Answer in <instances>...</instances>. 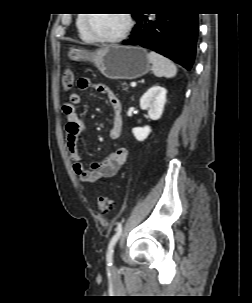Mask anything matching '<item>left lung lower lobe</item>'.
<instances>
[{
  "label": "left lung lower lobe",
  "mask_w": 252,
  "mask_h": 303,
  "mask_svg": "<svg viewBox=\"0 0 252 303\" xmlns=\"http://www.w3.org/2000/svg\"><path fill=\"white\" fill-rule=\"evenodd\" d=\"M133 36L125 45H138L156 51L190 70L193 66L198 34V15L139 14Z\"/></svg>",
  "instance_id": "left-lung-lower-lobe-1"
}]
</instances>
